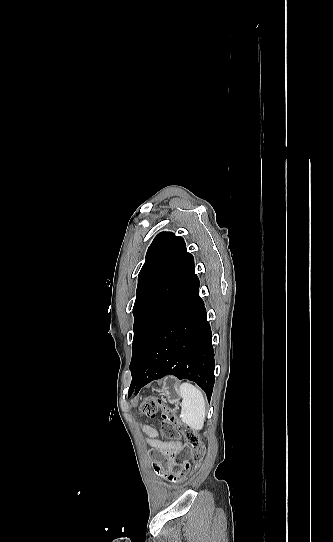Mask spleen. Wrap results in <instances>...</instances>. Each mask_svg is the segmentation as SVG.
<instances>
[{"mask_svg": "<svg viewBox=\"0 0 333 542\" xmlns=\"http://www.w3.org/2000/svg\"><path fill=\"white\" fill-rule=\"evenodd\" d=\"M179 392L182 398L181 422L187 424L191 430L199 432L204 426L206 416L204 396L199 388L188 382L181 384Z\"/></svg>", "mask_w": 333, "mask_h": 542, "instance_id": "1", "label": "spleen"}]
</instances>
